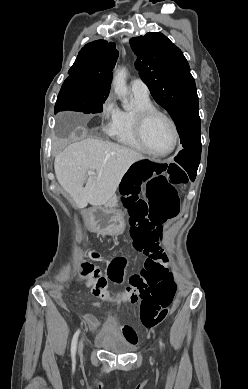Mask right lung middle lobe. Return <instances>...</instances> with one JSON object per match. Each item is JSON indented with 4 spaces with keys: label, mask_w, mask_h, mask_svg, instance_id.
Wrapping results in <instances>:
<instances>
[{
    "label": "right lung middle lobe",
    "mask_w": 248,
    "mask_h": 389,
    "mask_svg": "<svg viewBox=\"0 0 248 389\" xmlns=\"http://www.w3.org/2000/svg\"><path fill=\"white\" fill-rule=\"evenodd\" d=\"M109 88L93 87L86 84L80 75H70L63 83L59 92L55 112L73 110L83 113H99L103 110Z\"/></svg>",
    "instance_id": "obj_1"
}]
</instances>
